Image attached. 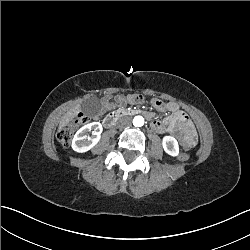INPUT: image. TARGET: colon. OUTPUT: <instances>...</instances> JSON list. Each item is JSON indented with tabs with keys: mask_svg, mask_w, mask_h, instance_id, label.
Instances as JSON below:
<instances>
[{
	"mask_svg": "<svg viewBox=\"0 0 250 250\" xmlns=\"http://www.w3.org/2000/svg\"><path fill=\"white\" fill-rule=\"evenodd\" d=\"M144 100V96L141 94H135L133 97L134 103H141ZM152 105H165V100H152ZM97 110L96 105L92 104L88 107L87 112H81L76 115L75 119L70 120L66 124L59 127L56 132V138L61 143V148L64 151H69L72 148L71 138L75 135L78 127L84 126L94 120L93 114ZM195 137H190L187 141V145L190 147L195 144ZM177 159L187 163L190 160L188 153L183 152L177 155Z\"/></svg>",
	"mask_w": 250,
	"mask_h": 250,
	"instance_id": "obj_1",
	"label": "colon"
}]
</instances>
